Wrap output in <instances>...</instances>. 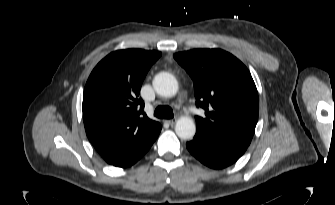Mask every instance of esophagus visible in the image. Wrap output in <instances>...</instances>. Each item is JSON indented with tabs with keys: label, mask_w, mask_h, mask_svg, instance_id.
<instances>
[{
	"label": "esophagus",
	"mask_w": 335,
	"mask_h": 205,
	"mask_svg": "<svg viewBox=\"0 0 335 205\" xmlns=\"http://www.w3.org/2000/svg\"><path fill=\"white\" fill-rule=\"evenodd\" d=\"M176 120H177L176 118H172V119L166 120V122L170 125H174Z\"/></svg>",
	"instance_id": "1"
}]
</instances>
